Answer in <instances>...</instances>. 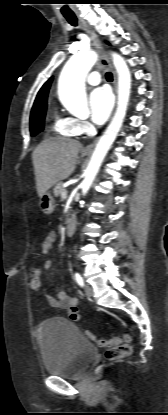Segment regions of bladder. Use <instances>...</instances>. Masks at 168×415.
Here are the masks:
<instances>
[{"label": "bladder", "instance_id": "obj_1", "mask_svg": "<svg viewBox=\"0 0 168 415\" xmlns=\"http://www.w3.org/2000/svg\"><path fill=\"white\" fill-rule=\"evenodd\" d=\"M40 335L44 367L50 375L78 378L98 355L96 347L68 319H46Z\"/></svg>", "mask_w": 168, "mask_h": 415}]
</instances>
